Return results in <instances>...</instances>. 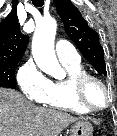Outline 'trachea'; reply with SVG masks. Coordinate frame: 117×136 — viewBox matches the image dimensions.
<instances>
[{
  "mask_svg": "<svg viewBox=\"0 0 117 136\" xmlns=\"http://www.w3.org/2000/svg\"><path fill=\"white\" fill-rule=\"evenodd\" d=\"M32 3L36 7H42L44 4V0H32Z\"/></svg>",
  "mask_w": 117,
  "mask_h": 136,
  "instance_id": "obj_1",
  "label": "trachea"
}]
</instances>
